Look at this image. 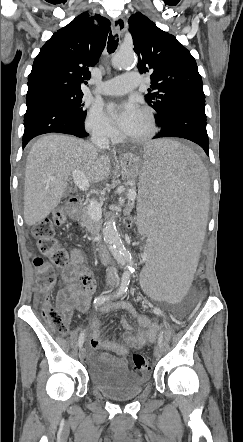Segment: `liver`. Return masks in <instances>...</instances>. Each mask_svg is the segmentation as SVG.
<instances>
[{
	"instance_id": "6515ba94",
	"label": "liver",
	"mask_w": 243,
	"mask_h": 442,
	"mask_svg": "<svg viewBox=\"0 0 243 442\" xmlns=\"http://www.w3.org/2000/svg\"><path fill=\"white\" fill-rule=\"evenodd\" d=\"M110 169V158L100 154L91 142L61 134L42 136L26 162L25 223L32 226L41 222L57 207L72 171H82L88 182L99 183L109 176Z\"/></svg>"
}]
</instances>
